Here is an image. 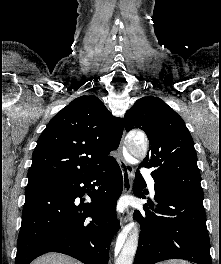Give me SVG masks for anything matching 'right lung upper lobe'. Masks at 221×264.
<instances>
[{"instance_id": "1", "label": "right lung upper lobe", "mask_w": 221, "mask_h": 264, "mask_svg": "<svg viewBox=\"0 0 221 264\" xmlns=\"http://www.w3.org/2000/svg\"><path fill=\"white\" fill-rule=\"evenodd\" d=\"M123 120L94 95L81 96L58 112L40 135L28 171L31 188L90 174L109 163L119 146Z\"/></svg>"}]
</instances>
